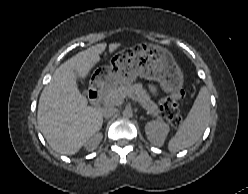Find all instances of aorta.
Instances as JSON below:
<instances>
[{
	"label": "aorta",
	"mask_w": 248,
	"mask_h": 194,
	"mask_svg": "<svg viewBox=\"0 0 248 194\" xmlns=\"http://www.w3.org/2000/svg\"><path fill=\"white\" fill-rule=\"evenodd\" d=\"M122 114L124 118H127V119L132 118L133 110L131 108H125Z\"/></svg>",
	"instance_id": "aorta-1"
}]
</instances>
